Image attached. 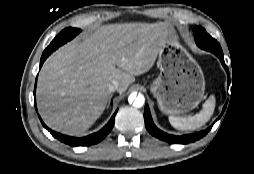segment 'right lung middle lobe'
<instances>
[{
  "mask_svg": "<svg viewBox=\"0 0 254 174\" xmlns=\"http://www.w3.org/2000/svg\"><path fill=\"white\" fill-rule=\"evenodd\" d=\"M80 31H81L80 29H75V28H71V27L62 30L61 33L54 38V40L51 42V44L45 50L51 49L50 47H52L55 42H57L58 40H60L62 38H68L69 40H71Z\"/></svg>",
  "mask_w": 254,
  "mask_h": 174,
  "instance_id": "1",
  "label": "right lung middle lobe"
}]
</instances>
